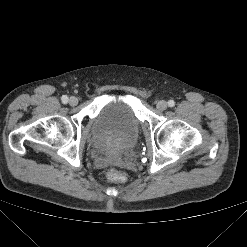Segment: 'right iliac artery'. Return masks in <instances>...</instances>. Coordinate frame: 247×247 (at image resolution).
<instances>
[{"label": "right iliac artery", "mask_w": 247, "mask_h": 247, "mask_svg": "<svg viewBox=\"0 0 247 247\" xmlns=\"http://www.w3.org/2000/svg\"><path fill=\"white\" fill-rule=\"evenodd\" d=\"M61 100H62L63 103H67L68 97L66 95H63Z\"/></svg>", "instance_id": "82829eb1"}]
</instances>
